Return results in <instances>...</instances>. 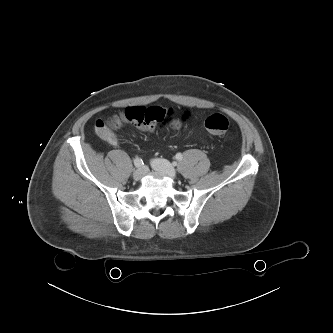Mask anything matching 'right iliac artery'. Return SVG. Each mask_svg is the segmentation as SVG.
<instances>
[{"label": "right iliac artery", "mask_w": 333, "mask_h": 333, "mask_svg": "<svg viewBox=\"0 0 333 333\" xmlns=\"http://www.w3.org/2000/svg\"><path fill=\"white\" fill-rule=\"evenodd\" d=\"M134 165L137 167V168H139V167H141L142 165H143V161H142V159H140V158H135V160H134Z\"/></svg>", "instance_id": "1"}]
</instances>
